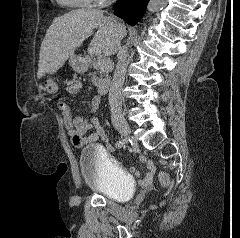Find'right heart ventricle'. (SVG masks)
Segmentation results:
<instances>
[{"label":"right heart ventricle","instance_id":"obj_1","mask_svg":"<svg viewBox=\"0 0 240 238\" xmlns=\"http://www.w3.org/2000/svg\"><path fill=\"white\" fill-rule=\"evenodd\" d=\"M58 4L63 7L74 9L87 6L90 2L88 0H56Z\"/></svg>","mask_w":240,"mask_h":238}]
</instances>
